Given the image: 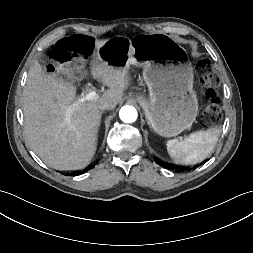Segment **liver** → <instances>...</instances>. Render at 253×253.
<instances>
[{"instance_id": "6515ba94", "label": "liver", "mask_w": 253, "mask_h": 253, "mask_svg": "<svg viewBox=\"0 0 253 253\" xmlns=\"http://www.w3.org/2000/svg\"><path fill=\"white\" fill-rule=\"evenodd\" d=\"M106 41L96 40L98 50ZM92 76L106 85L95 100L76 101V87L46 73L38 61L29 69L23 92L24 133L31 149L48 166L57 170L86 167L97 149L99 104L115 106L130 86L126 70L115 68L96 57L91 62Z\"/></svg>"}]
</instances>
